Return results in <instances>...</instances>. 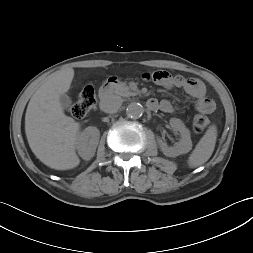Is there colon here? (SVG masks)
<instances>
[{"mask_svg": "<svg viewBox=\"0 0 253 253\" xmlns=\"http://www.w3.org/2000/svg\"><path fill=\"white\" fill-rule=\"evenodd\" d=\"M96 104V94L92 85H86L78 94L77 100L71 108V113L76 118L86 116ZM209 124V118L206 114H197L193 118V127L195 131L202 132Z\"/></svg>", "mask_w": 253, "mask_h": 253, "instance_id": "colon-1", "label": "colon"}]
</instances>
